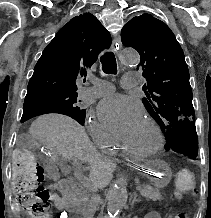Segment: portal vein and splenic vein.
Masks as SVG:
<instances>
[{
	"instance_id": "portal-vein-and-splenic-vein-1",
	"label": "portal vein and splenic vein",
	"mask_w": 211,
	"mask_h": 218,
	"mask_svg": "<svg viewBox=\"0 0 211 218\" xmlns=\"http://www.w3.org/2000/svg\"><path fill=\"white\" fill-rule=\"evenodd\" d=\"M135 189H137L138 191H140V190H141L140 188H138V186H135Z\"/></svg>"
}]
</instances>
